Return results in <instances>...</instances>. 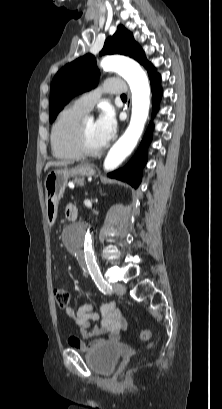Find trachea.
I'll list each match as a JSON object with an SVG mask.
<instances>
[{
    "instance_id": "1",
    "label": "trachea",
    "mask_w": 222,
    "mask_h": 409,
    "mask_svg": "<svg viewBox=\"0 0 222 409\" xmlns=\"http://www.w3.org/2000/svg\"><path fill=\"white\" fill-rule=\"evenodd\" d=\"M122 99H127V96L125 94L121 95Z\"/></svg>"
}]
</instances>
